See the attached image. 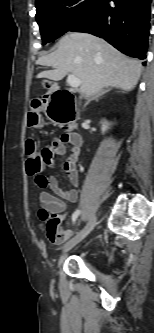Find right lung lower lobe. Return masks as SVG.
Returning a JSON list of instances; mask_svg holds the SVG:
<instances>
[{
	"mask_svg": "<svg viewBox=\"0 0 154 333\" xmlns=\"http://www.w3.org/2000/svg\"><path fill=\"white\" fill-rule=\"evenodd\" d=\"M110 1H113L114 5H111ZM151 1L98 0L88 17L69 31L101 37L124 54L144 60Z\"/></svg>",
	"mask_w": 154,
	"mask_h": 333,
	"instance_id": "1",
	"label": "right lung lower lobe"
}]
</instances>
